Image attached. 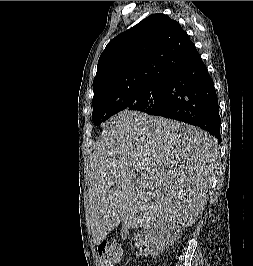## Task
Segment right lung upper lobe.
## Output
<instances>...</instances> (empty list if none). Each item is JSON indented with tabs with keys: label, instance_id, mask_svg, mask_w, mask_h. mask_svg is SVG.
<instances>
[{
	"label": "right lung upper lobe",
	"instance_id": "right-lung-upper-lobe-1",
	"mask_svg": "<svg viewBox=\"0 0 253 266\" xmlns=\"http://www.w3.org/2000/svg\"><path fill=\"white\" fill-rule=\"evenodd\" d=\"M177 21L153 14L112 39L93 81L92 105L152 82L167 81L199 57Z\"/></svg>",
	"mask_w": 253,
	"mask_h": 266
}]
</instances>
